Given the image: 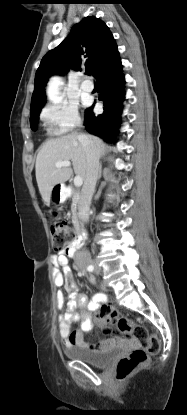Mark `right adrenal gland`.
<instances>
[{
	"label": "right adrenal gland",
	"instance_id": "2a0ac1e0",
	"mask_svg": "<svg viewBox=\"0 0 187 415\" xmlns=\"http://www.w3.org/2000/svg\"><path fill=\"white\" fill-rule=\"evenodd\" d=\"M101 176H102V165H100V167H99L98 180L101 178Z\"/></svg>",
	"mask_w": 187,
	"mask_h": 415
}]
</instances>
